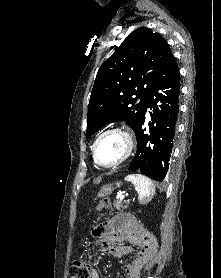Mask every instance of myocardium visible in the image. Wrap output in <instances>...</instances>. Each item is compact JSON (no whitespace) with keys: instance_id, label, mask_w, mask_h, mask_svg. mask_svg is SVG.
<instances>
[{"instance_id":"obj_1","label":"myocardium","mask_w":221,"mask_h":278,"mask_svg":"<svg viewBox=\"0 0 221 278\" xmlns=\"http://www.w3.org/2000/svg\"><path fill=\"white\" fill-rule=\"evenodd\" d=\"M110 133L120 134L125 140L126 149H125V153H124L123 157L119 161H117L116 163L111 164V165H104V164H101L97 158L96 147H97V144L100 141V139ZM133 149H134V141H133V138L130 135V133L127 130L122 129L120 127H112V128L106 129L105 131H103L96 137V139L94 140L93 145H92V157L97 166L104 168V169H114V168H117L118 166L122 165L123 163H125L130 158V156L133 152Z\"/></svg>"}]
</instances>
